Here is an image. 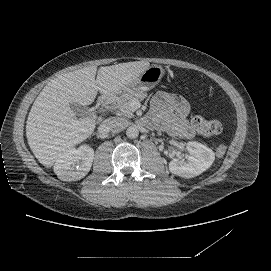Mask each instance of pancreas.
<instances>
[{"label": "pancreas", "instance_id": "cf45deb5", "mask_svg": "<svg viewBox=\"0 0 271 271\" xmlns=\"http://www.w3.org/2000/svg\"><path fill=\"white\" fill-rule=\"evenodd\" d=\"M146 97V93H135L125 95L123 98L119 99L116 103V108L122 113V115L132 118L135 108L132 107L134 102L143 100Z\"/></svg>", "mask_w": 271, "mask_h": 271}]
</instances>
